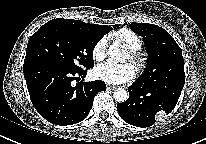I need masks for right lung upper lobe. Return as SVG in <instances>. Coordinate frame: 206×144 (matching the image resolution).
I'll use <instances>...</instances> for the list:
<instances>
[{
	"instance_id": "obj_1",
	"label": "right lung upper lobe",
	"mask_w": 206,
	"mask_h": 144,
	"mask_svg": "<svg viewBox=\"0 0 206 144\" xmlns=\"http://www.w3.org/2000/svg\"><path fill=\"white\" fill-rule=\"evenodd\" d=\"M58 20H63V21H66L68 23H72V24L77 25L81 28H84L88 31H91L95 34H98L102 37L104 36V34L110 32L112 30V27H110V26L84 23L81 20L60 19V18H58Z\"/></svg>"
}]
</instances>
